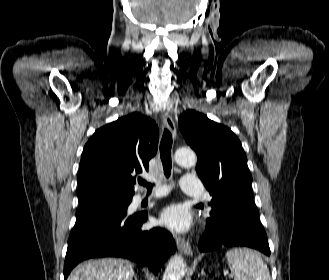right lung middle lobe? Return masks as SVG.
I'll use <instances>...</instances> for the list:
<instances>
[{
    "label": "right lung middle lobe",
    "mask_w": 329,
    "mask_h": 280,
    "mask_svg": "<svg viewBox=\"0 0 329 280\" xmlns=\"http://www.w3.org/2000/svg\"><path fill=\"white\" fill-rule=\"evenodd\" d=\"M131 197H92L87 199L79 200V211L78 216L86 214L93 209L104 206V205H113L121 208H126Z\"/></svg>",
    "instance_id": "1"
}]
</instances>
